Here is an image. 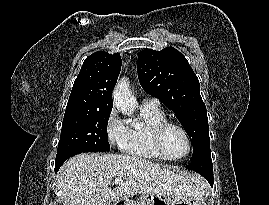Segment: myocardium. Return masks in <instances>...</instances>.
I'll return each mask as SVG.
<instances>
[{
	"label": "myocardium",
	"mask_w": 269,
	"mask_h": 205,
	"mask_svg": "<svg viewBox=\"0 0 269 205\" xmlns=\"http://www.w3.org/2000/svg\"><path fill=\"white\" fill-rule=\"evenodd\" d=\"M177 128L179 129L185 136L186 141H187V151L186 153L181 156V157H172L170 156L165 148H164V135L166 133V131L171 128ZM151 143L156 151V153L163 158L164 160H168V161H181L184 160L185 158H187L193 148V144H192V139L191 136L189 134V132L187 131V129L181 125L178 122L175 121H171V120H164L160 123H158L156 126H154V128L152 129L151 132Z\"/></svg>",
	"instance_id": "myocardium-1"
}]
</instances>
